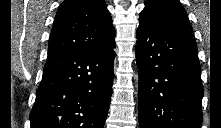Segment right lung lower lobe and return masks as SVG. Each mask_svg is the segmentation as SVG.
Returning <instances> with one entry per match:
<instances>
[{"label":"right lung lower lobe","mask_w":221,"mask_h":128,"mask_svg":"<svg viewBox=\"0 0 221 128\" xmlns=\"http://www.w3.org/2000/svg\"><path fill=\"white\" fill-rule=\"evenodd\" d=\"M115 41L48 57L31 128H103L111 101Z\"/></svg>","instance_id":"1"}]
</instances>
